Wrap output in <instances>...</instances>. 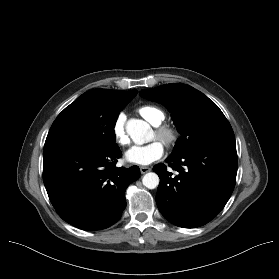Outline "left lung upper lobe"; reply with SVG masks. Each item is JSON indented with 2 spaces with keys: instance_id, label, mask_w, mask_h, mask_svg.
Segmentation results:
<instances>
[{
  "instance_id": "5c2ea615",
  "label": "left lung upper lobe",
  "mask_w": 279,
  "mask_h": 279,
  "mask_svg": "<svg viewBox=\"0 0 279 279\" xmlns=\"http://www.w3.org/2000/svg\"><path fill=\"white\" fill-rule=\"evenodd\" d=\"M140 95L162 103L170 112L181 137L172 156L209 144L235 143L231 125L219 107L193 87L172 83L142 90Z\"/></svg>"
}]
</instances>
